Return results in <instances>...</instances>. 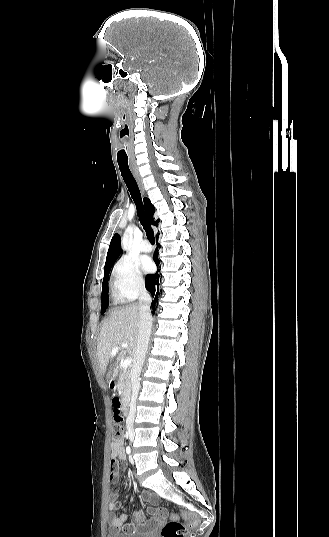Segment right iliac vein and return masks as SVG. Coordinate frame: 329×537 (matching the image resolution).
<instances>
[{
	"instance_id": "63e3f726",
	"label": "right iliac vein",
	"mask_w": 329,
	"mask_h": 537,
	"mask_svg": "<svg viewBox=\"0 0 329 537\" xmlns=\"http://www.w3.org/2000/svg\"><path fill=\"white\" fill-rule=\"evenodd\" d=\"M130 440L132 441V440H133V437H131Z\"/></svg>"
}]
</instances>
